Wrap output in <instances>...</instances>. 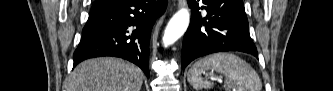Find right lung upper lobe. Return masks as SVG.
<instances>
[{
	"label": "right lung upper lobe",
	"mask_w": 333,
	"mask_h": 91,
	"mask_svg": "<svg viewBox=\"0 0 333 91\" xmlns=\"http://www.w3.org/2000/svg\"><path fill=\"white\" fill-rule=\"evenodd\" d=\"M99 1H104V0H96L95 2H99Z\"/></svg>",
	"instance_id": "right-lung-upper-lobe-1"
}]
</instances>
